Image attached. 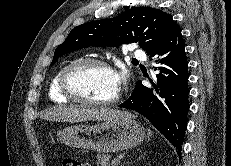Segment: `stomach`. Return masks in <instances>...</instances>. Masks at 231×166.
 <instances>
[{"label":"stomach","instance_id":"0dacf381","mask_svg":"<svg viewBox=\"0 0 231 166\" xmlns=\"http://www.w3.org/2000/svg\"><path fill=\"white\" fill-rule=\"evenodd\" d=\"M61 143L74 148L111 153L133 148L146 137L132 115L96 125H74L58 132Z\"/></svg>","mask_w":231,"mask_h":166}]
</instances>
